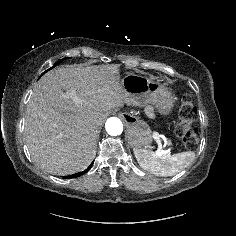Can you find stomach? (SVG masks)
<instances>
[{
    "instance_id": "obj_1",
    "label": "stomach",
    "mask_w": 236,
    "mask_h": 236,
    "mask_svg": "<svg viewBox=\"0 0 236 236\" xmlns=\"http://www.w3.org/2000/svg\"><path fill=\"white\" fill-rule=\"evenodd\" d=\"M121 86L129 95V103L135 106L152 104L158 113L169 114L173 108V97L162 85L147 77L128 73ZM128 125V141L134 149L147 148L152 143V132L146 122L128 114L125 116Z\"/></svg>"
}]
</instances>
